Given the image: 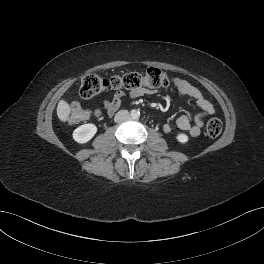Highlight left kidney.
Here are the masks:
<instances>
[{
  "label": "left kidney",
  "mask_w": 264,
  "mask_h": 264,
  "mask_svg": "<svg viewBox=\"0 0 264 264\" xmlns=\"http://www.w3.org/2000/svg\"><path fill=\"white\" fill-rule=\"evenodd\" d=\"M176 139L182 144H185V143L188 142V136L186 134H183V133L182 134H178L176 136Z\"/></svg>",
  "instance_id": "left-kidney-1"
}]
</instances>
